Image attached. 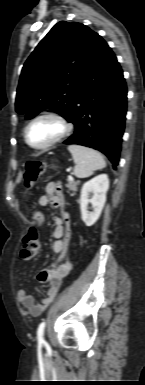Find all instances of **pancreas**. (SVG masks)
Here are the masks:
<instances>
[{
	"label": "pancreas",
	"instance_id": "cf45deb5",
	"mask_svg": "<svg viewBox=\"0 0 145 385\" xmlns=\"http://www.w3.org/2000/svg\"><path fill=\"white\" fill-rule=\"evenodd\" d=\"M79 185V182L78 181H75V182H72V181H68L67 184H66V187L69 191L72 192V195L75 194V192L77 191V186Z\"/></svg>",
	"mask_w": 145,
	"mask_h": 385
}]
</instances>
